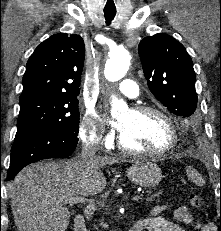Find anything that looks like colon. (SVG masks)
I'll return each mask as SVG.
<instances>
[{
  "label": "colon",
  "instance_id": "1",
  "mask_svg": "<svg viewBox=\"0 0 221 231\" xmlns=\"http://www.w3.org/2000/svg\"><path fill=\"white\" fill-rule=\"evenodd\" d=\"M189 202L194 208H201L204 205L203 198L198 194H191L189 196Z\"/></svg>",
  "mask_w": 221,
  "mask_h": 231
}]
</instances>
